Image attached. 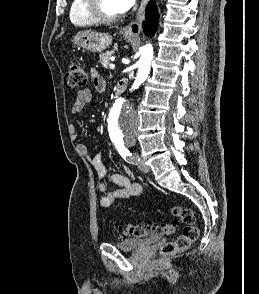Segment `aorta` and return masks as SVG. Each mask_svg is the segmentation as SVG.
Here are the masks:
<instances>
[{
  "label": "aorta",
  "mask_w": 259,
  "mask_h": 294,
  "mask_svg": "<svg viewBox=\"0 0 259 294\" xmlns=\"http://www.w3.org/2000/svg\"><path fill=\"white\" fill-rule=\"evenodd\" d=\"M153 47L146 44L141 49V57L138 62V73L130 92L137 89L148 77ZM139 126L138 115L129 107L127 96L120 97L111 108L108 116V133L111 140L124 143L134 142L137 138Z\"/></svg>",
  "instance_id": "obj_1"
}]
</instances>
